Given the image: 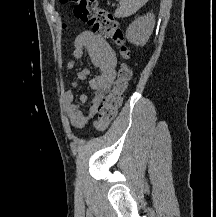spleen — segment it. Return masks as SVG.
<instances>
[{
    "label": "spleen",
    "instance_id": "obj_1",
    "mask_svg": "<svg viewBox=\"0 0 216 217\" xmlns=\"http://www.w3.org/2000/svg\"><path fill=\"white\" fill-rule=\"evenodd\" d=\"M148 0H120V7L115 11L117 18H125L136 13Z\"/></svg>",
    "mask_w": 216,
    "mask_h": 217
}]
</instances>
